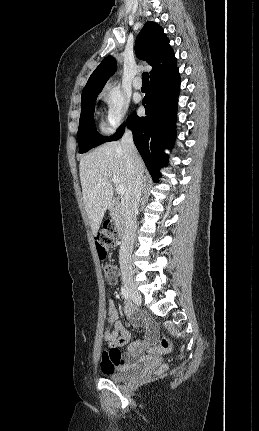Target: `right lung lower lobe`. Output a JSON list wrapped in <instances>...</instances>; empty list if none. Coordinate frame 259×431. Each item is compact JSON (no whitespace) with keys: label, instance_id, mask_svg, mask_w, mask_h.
<instances>
[{"label":"right lung lower lobe","instance_id":"right-lung-lower-lobe-1","mask_svg":"<svg viewBox=\"0 0 259 431\" xmlns=\"http://www.w3.org/2000/svg\"><path fill=\"white\" fill-rule=\"evenodd\" d=\"M179 90L180 75L177 65H174L150 79L149 90L143 99L146 116L139 117L133 113L126 122L132 130L134 143L155 182L160 176L159 169L167 162V155L163 150L171 149L175 140ZM124 131L125 124L105 142L120 139Z\"/></svg>","mask_w":259,"mask_h":431}]
</instances>
